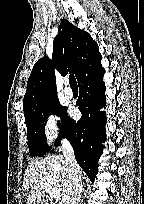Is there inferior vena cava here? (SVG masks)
<instances>
[{"label": "inferior vena cava", "instance_id": "1", "mask_svg": "<svg viewBox=\"0 0 144 204\" xmlns=\"http://www.w3.org/2000/svg\"><path fill=\"white\" fill-rule=\"evenodd\" d=\"M62 151L66 161L68 189L60 204H78L81 192L83 191L80 176L81 169L75 159L73 147L66 139L62 142Z\"/></svg>", "mask_w": 144, "mask_h": 204}]
</instances>
